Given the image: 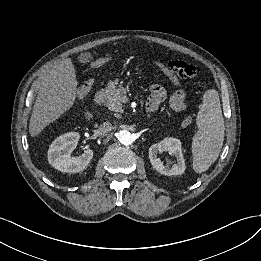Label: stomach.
Here are the masks:
<instances>
[{
    "instance_id": "obj_1",
    "label": "stomach",
    "mask_w": 261,
    "mask_h": 261,
    "mask_svg": "<svg viewBox=\"0 0 261 261\" xmlns=\"http://www.w3.org/2000/svg\"><path fill=\"white\" fill-rule=\"evenodd\" d=\"M135 71H136V73H141L142 70L139 68H136Z\"/></svg>"
}]
</instances>
